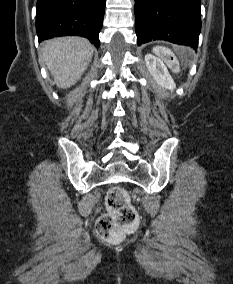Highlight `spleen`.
Segmentation results:
<instances>
[{
	"label": "spleen",
	"instance_id": "obj_1",
	"mask_svg": "<svg viewBox=\"0 0 233 284\" xmlns=\"http://www.w3.org/2000/svg\"><path fill=\"white\" fill-rule=\"evenodd\" d=\"M153 52L157 55L161 56L162 58L166 59V61L173 66L174 61H171L169 58L174 57L172 51L166 47L156 46L153 48ZM175 71H178V68H174Z\"/></svg>",
	"mask_w": 233,
	"mask_h": 284
}]
</instances>
